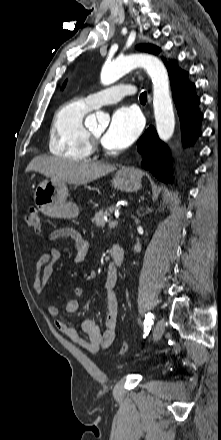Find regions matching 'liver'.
<instances>
[{
    "mask_svg": "<svg viewBox=\"0 0 221 440\" xmlns=\"http://www.w3.org/2000/svg\"><path fill=\"white\" fill-rule=\"evenodd\" d=\"M115 170V166L97 162H78L53 156H37L26 172L36 171L51 179L69 184H87Z\"/></svg>",
    "mask_w": 221,
    "mask_h": 440,
    "instance_id": "obj_1",
    "label": "liver"
}]
</instances>
